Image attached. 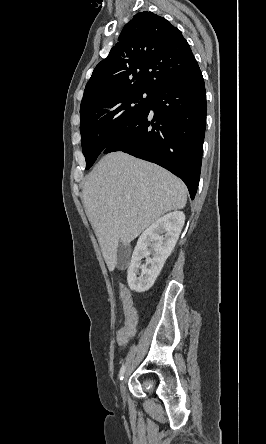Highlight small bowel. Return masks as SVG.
Instances as JSON below:
<instances>
[{
  "mask_svg": "<svg viewBox=\"0 0 266 444\" xmlns=\"http://www.w3.org/2000/svg\"><path fill=\"white\" fill-rule=\"evenodd\" d=\"M119 297L122 303L124 323L118 330L116 338L119 345H124L137 331L138 313L130 291L123 285L119 287Z\"/></svg>",
  "mask_w": 266,
  "mask_h": 444,
  "instance_id": "c3829d8e",
  "label": "small bowel"
}]
</instances>
